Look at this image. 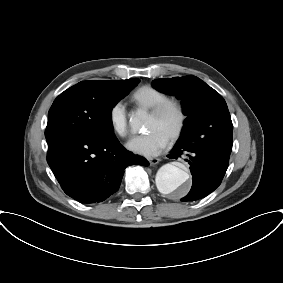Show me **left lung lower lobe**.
Instances as JSON below:
<instances>
[{
  "label": "left lung lower lobe",
  "mask_w": 283,
  "mask_h": 283,
  "mask_svg": "<svg viewBox=\"0 0 283 283\" xmlns=\"http://www.w3.org/2000/svg\"><path fill=\"white\" fill-rule=\"evenodd\" d=\"M194 129L181 134L169 158L177 159L183 155L190 164L192 188L182 201H193L213 192L221 183L228 167L230 153L218 152L200 142Z\"/></svg>",
  "instance_id": "left-lung-lower-lobe-1"
}]
</instances>
